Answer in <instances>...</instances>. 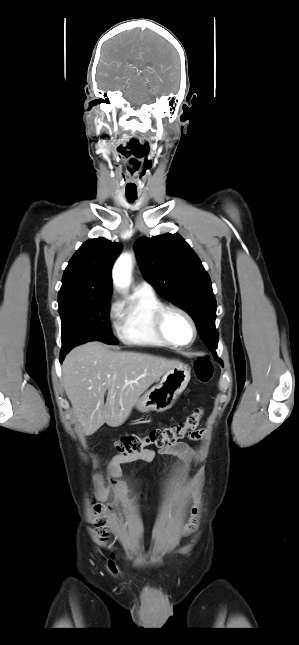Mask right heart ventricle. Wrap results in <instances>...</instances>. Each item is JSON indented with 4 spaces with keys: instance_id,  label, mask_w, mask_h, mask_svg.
<instances>
[{
    "instance_id": "right-heart-ventricle-1",
    "label": "right heart ventricle",
    "mask_w": 299,
    "mask_h": 645,
    "mask_svg": "<svg viewBox=\"0 0 299 645\" xmlns=\"http://www.w3.org/2000/svg\"><path fill=\"white\" fill-rule=\"evenodd\" d=\"M164 304L156 294L135 290L130 300L117 313V335L125 344L163 347L154 327V316Z\"/></svg>"
}]
</instances>
